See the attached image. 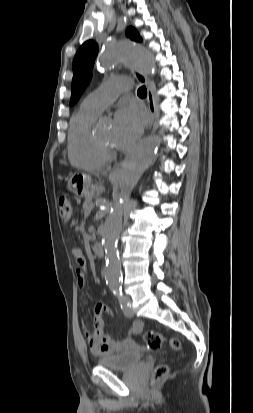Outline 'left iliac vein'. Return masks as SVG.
<instances>
[{
    "label": "left iliac vein",
    "instance_id": "obj_1",
    "mask_svg": "<svg viewBox=\"0 0 253 413\" xmlns=\"http://www.w3.org/2000/svg\"><path fill=\"white\" fill-rule=\"evenodd\" d=\"M127 300L129 305L123 309V312L126 317H132L134 315V311L132 309V301L130 298H127Z\"/></svg>",
    "mask_w": 253,
    "mask_h": 413
}]
</instances>
